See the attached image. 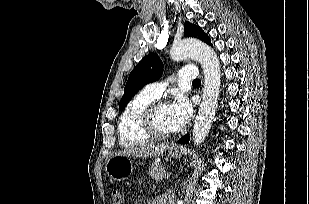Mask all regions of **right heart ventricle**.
I'll list each match as a JSON object with an SVG mask.
<instances>
[{
  "label": "right heart ventricle",
  "instance_id": "1",
  "mask_svg": "<svg viewBox=\"0 0 309 204\" xmlns=\"http://www.w3.org/2000/svg\"><path fill=\"white\" fill-rule=\"evenodd\" d=\"M157 98L145 91L136 94L126 105L118 123V136L122 146H135L149 141L139 126L142 110Z\"/></svg>",
  "mask_w": 309,
  "mask_h": 204
}]
</instances>
